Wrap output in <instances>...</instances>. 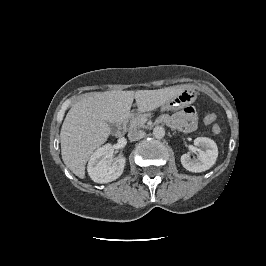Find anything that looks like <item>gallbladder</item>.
I'll use <instances>...</instances> for the list:
<instances>
[{
	"instance_id": "obj_1",
	"label": "gallbladder",
	"mask_w": 266,
	"mask_h": 266,
	"mask_svg": "<svg viewBox=\"0 0 266 266\" xmlns=\"http://www.w3.org/2000/svg\"><path fill=\"white\" fill-rule=\"evenodd\" d=\"M110 128L111 130H116L117 129V126L113 123L110 124Z\"/></svg>"
}]
</instances>
